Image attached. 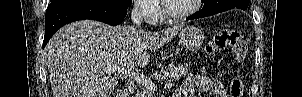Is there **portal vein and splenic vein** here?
<instances>
[{"mask_svg":"<svg viewBox=\"0 0 302 97\" xmlns=\"http://www.w3.org/2000/svg\"><path fill=\"white\" fill-rule=\"evenodd\" d=\"M116 71L118 73L129 76L131 79L135 80L137 83L141 84L142 86H144L146 89L150 91H154L156 89V85L153 83V81L145 77L144 75L135 72L129 73L117 65H109L105 68L106 73H113Z\"/></svg>","mask_w":302,"mask_h":97,"instance_id":"portal-vein-and-splenic-vein-1","label":"portal vein and splenic vein"}]
</instances>
